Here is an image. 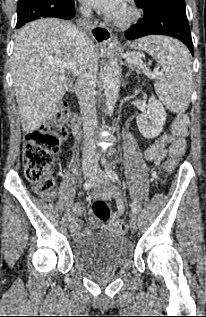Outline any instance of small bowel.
<instances>
[{
    "label": "small bowel",
    "instance_id": "c3829d8e",
    "mask_svg": "<svg viewBox=\"0 0 206 317\" xmlns=\"http://www.w3.org/2000/svg\"><path fill=\"white\" fill-rule=\"evenodd\" d=\"M174 139L173 135L171 134H164L160 136L158 139H156L153 143L149 144L147 148L144 151V157L151 162L157 163L161 159H163L166 156L167 153V145ZM114 196L117 199V212L113 213L111 221H110V227L113 222L117 221L116 218L118 217L119 213L123 211L124 206L123 202L121 200V197L119 193L114 189H107L102 187H97L93 198H108ZM73 212L76 216H80L83 214V209L78 205L74 204ZM90 225L94 227H100L102 230H106L105 226H102L100 223V220L96 216H91L89 219ZM88 228H83L78 224V228L76 231V237L78 239H82L86 237L89 234Z\"/></svg>",
    "mask_w": 206,
    "mask_h": 317
}]
</instances>
